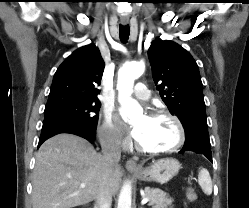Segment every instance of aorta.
Masks as SVG:
<instances>
[{
  "label": "aorta",
  "instance_id": "762f6f07",
  "mask_svg": "<svg viewBox=\"0 0 249 208\" xmlns=\"http://www.w3.org/2000/svg\"><path fill=\"white\" fill-rule=\"evenodd\" d=\"M145 70L143 63H127L118 72L117 89L119 101L122 105L121 116L125 121L139 118L142 108L138 102L131 98L134 80L139 78ZM131 184L125 183L120 191L117 208H131Z\"/></svg>",
  "mask_w": 249,
  "mask_h": 208
}]
</instances>
